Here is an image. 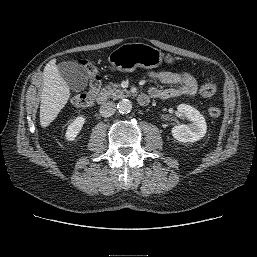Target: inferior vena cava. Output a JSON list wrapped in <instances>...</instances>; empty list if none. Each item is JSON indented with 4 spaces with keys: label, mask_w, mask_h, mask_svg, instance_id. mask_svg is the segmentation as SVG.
<instances>
[{
    "label": "inferior vena cava",
    "mask_w": 257,
    "mask_h": 257,
    "mask_svg": "<svg viewBox=\"0 0 257 257\" xmlns=\"http://www.w3.org/2000/svg\"><path fill=\"white\" fill-rule=\"evenodd\" d=\"M116 111V105L114 102H106L104 104H102V106L100 107V114L103 117H110L112 116Z\"/></svg>",
    "instance_id": "obj_1"
}]
</instances>
